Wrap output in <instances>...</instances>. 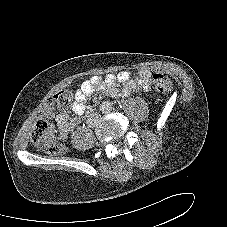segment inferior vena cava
<instances>
[{
  "label": "inferior vena cava",
  "mask_w": 227,
  "mask_h": 227,
  "mask_svg": "<svg viewBox=\"0 0 227 227\" xmlns=\"http://www.w3.org/2000/svg\"><path fill=\"white\" fill-rule=\"evenodd\" d=\"M100 109L103 112H109L111 110V105L108 102H103Z\"/></svg>",
  "instance_id": "1"
}]
</instances>
